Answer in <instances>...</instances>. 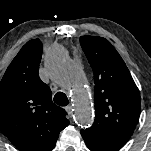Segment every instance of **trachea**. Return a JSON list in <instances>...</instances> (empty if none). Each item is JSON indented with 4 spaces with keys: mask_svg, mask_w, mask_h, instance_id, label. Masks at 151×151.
Returning a JSON list of instances; mask_svg holds the SVG:
<instances>
[{
    "mask_svg": "<svg viewBox=\"0 0 151 151\" xmlns=\"http://www.w3.org/2000/svg\"><path fill=\"white\" fill-rule=\"evenodd\" d=\"M54 102L59 106H67L69 104V100L65 93L57 92L54 96Z\"/></svg>",
    "mask_w": 151,
    "mask_h": 151,
    "instance_id": "obj_1",
    "label": "trachea"
}]
</instances>
